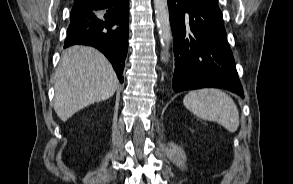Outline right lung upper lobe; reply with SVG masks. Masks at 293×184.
Instances as JSON below:
<instances>
[{
    "label": "right lung upper lobe",
    "mask_w": 293,
    "mask_h": 184,
    "mask_svg": "<svg viewBox=\"0 0 293 184\" xmlns=\"http://www.w3.org/2000/svg\"><path fill=\"white\" fill-rule=\"evenodd\" d=\"M94 1H100V0H74V4H80V3H84L85 5H88V3H92Z\"/></svg>",
    "instance_id": "cb5924a9"
}]
</instances>
